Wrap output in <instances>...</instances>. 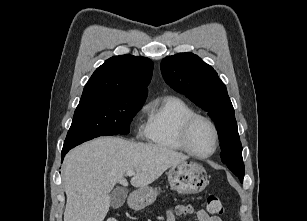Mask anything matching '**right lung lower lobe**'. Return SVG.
Masks as SVG:
<instances>
[{
    "label": "right lung lower lobe",
    "mask_w": 307,
    "mask_h": 221,
    "mask_svg": "<svg viewBox=\"0 0 307 221\" xmlns=\"http://www.w3.org/2000/svg\"><path fill=\"white\" fill-rule=\"evenodd\" d=\"M68 151H69V150L62 151V156L64 157V156H65V154H66ZM62 162H63V160H62Z\"/></svg>",
    "instance_id": "obj_1"
}]
</instances>
